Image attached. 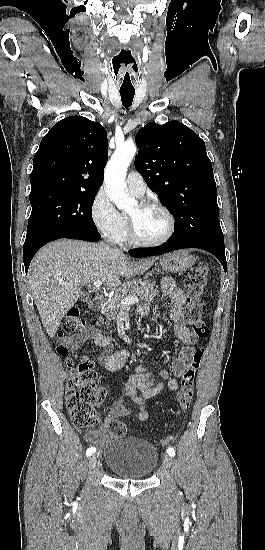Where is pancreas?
<instances>
[{
	"instance_id": "pancreas-1",
	"label": "pancreas",
	"mask_w": 265,
	"mask_h": 550,
	"mask_svg": "<svg viewBox=\"0 0 265 550\" xmlns=\"http://www.w3.org/2000/svg\"><path fill=\"white\" fill-rule=\"evenodd\" d=\"M158 292L159 290L157 289L156 282L141 279L134 280L129 282L120 292L107 300L102 309V314L107 318H114L123 308L120 304L122 299L136 296L150 303L154 300Z\"/></svg>"
}]
</instances>
